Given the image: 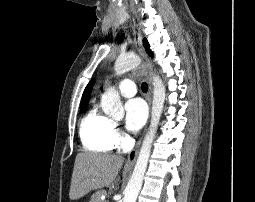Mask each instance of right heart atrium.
Wrapping results in <instances>:
<instances>
[{
    "label": "right heart atrium",
    "mask_w": 255,
    "mask_h": 202,
    "mask_svg": "<svg viewBox=\"0 0 255 202\" xmlns=\"http://www.w3.org/2000/svg\"><path fill=\"white\" fill-rule=\"evenodd\" d=\"M113 138H114V143L116 145H123L126 140V138L123 135V133L121 132V130L115 124H114V129H113Z\"/></svg>",
    "instance_id": "right-heart-atrium-1"
}]
</instances>
